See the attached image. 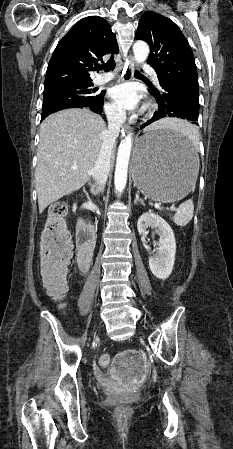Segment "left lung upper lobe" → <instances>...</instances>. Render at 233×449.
I'll return each mask as SVG.
<instances>
[{"label": "left lung upper lobe", "mask_w": 233, "mask_h": 449, "mask_svg": "<svg viewBox=\"0 0 233 449\" xmlns=\"http://www.w3.org/2000/svg\"><path fill=\"white\" fill-rule=\"evenodd\" d=\"M136 39L150 45L148 64L158 79L199 97L197 68L191 47L178 26L158 13L145 12Z\"/></svg>", "instance_id": "obj_1"}]
</instances>
